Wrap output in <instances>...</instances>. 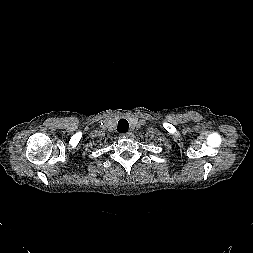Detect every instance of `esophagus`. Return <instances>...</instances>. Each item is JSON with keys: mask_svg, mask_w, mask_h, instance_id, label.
<instances>
[{"mask_svg": "<svg viewBox=\"0 0 253 253\" xmlns=\"http://www.w3.org/2000/svg\"><path fill=\"white\" fill-rule=\"evenodd\" d=\"M121 136H122L123 138H129V137L132 136V133H131V132L122 133Z\"/></svg>", "mask_w": 253, "mask_h": 253, "instance_id": "obj_1", "label": "esophagus"}]
</instances>
